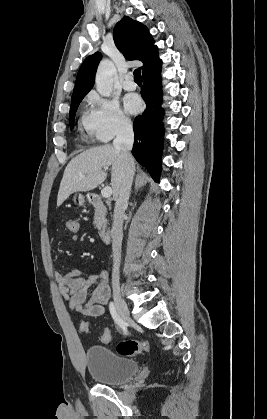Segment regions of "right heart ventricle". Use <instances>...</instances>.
Instances as JSON below:
<instances>
[{
  "label": "right heart ventricle",
  "instance_id": "obj_1",
  "mask_svg": "<svg viewBox=\"0 0 267 419\" xmlns=\"http://www.w3.org/2000/svg\"><path fill=\"white\" fill-rule=\"evenodd\" d=\"M93 123V113L87 110L83 111L79 120L81 130L88 135H93Z\"/></svg>",
  "mask_w": 267,
  "mask_h": 419
}]
</instances>
